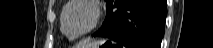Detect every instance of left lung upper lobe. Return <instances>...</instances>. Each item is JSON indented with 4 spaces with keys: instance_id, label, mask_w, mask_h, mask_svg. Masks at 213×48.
Masks as SVG:
<instances>
[{
    "instance_id": "obj_1",
    "label": "left lung upper lobe",
    "mask_w": 213,
    "mask_h": 48,
    "mask_svg": "<svg viewBox=\"0 0 213 48\" xmlns=\"http://www.w3.org/2000/svg\"><path fill=\"white\" fill-rule=\"evenodd\" d=\"M109 1H110V0H106L107 4H108Z\"/></svg>"
}]
</instances>
